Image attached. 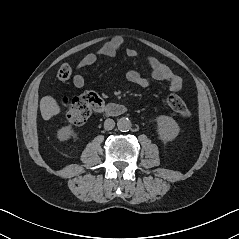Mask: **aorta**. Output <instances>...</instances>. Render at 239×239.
Returning <instances> with one entry per match:
<instances>
[{
  "label": "aorta",
  "mask_w": 239,
  "mask_h": 239,
  "mask_svg": "<svg viewBox=\"0 0 239 239\" xmlns=\"http://www.w3.org/2000/svg\"><path fill=\"white\" fill-rule=\"evenodd\" d=\"M117 127L120 131L122 132H126V131H129L132 127V123L130 121L129 118H120L118 121H117Z\"/></svg>",
  "instance_id": "aorta-1"
}]
</instances>
